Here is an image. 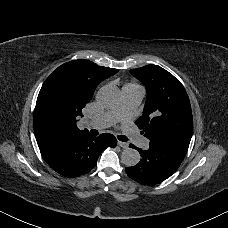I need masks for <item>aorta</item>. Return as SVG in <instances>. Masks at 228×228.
<instances>
[{"instance_id":"762f6f07","label":"aorta","mask_w":228,"mask_h":228,"mask_svg":"<svg viewBox=\"0 0 228 228\" xmlns=\"http://www.w3.org/2000/svg\"><path fill=\"white\" fill-rule=\"evenodd\" d=\"M120 91L116 86H103L97 94V101L106 109L115 108L120 101ZM121 161L127 167L135 166L140 161V154L133 148H126L121 154Z\"/></svg>"}]
</instances>
